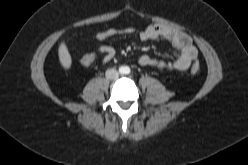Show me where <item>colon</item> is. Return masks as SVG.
<instances>
[{"label": "colon", "instance_id": "colon-1", "mask_svg": "<svg viewBox=\"0 0 248 165\" xmlns=\"http://www.w3.org/2000/svg\"><path fill=\"white\" fill-rule=\"evenodd\" d=\"M94 61V56L92 54H85L81 57L80 62L82 65L87 66L90 65ZM200 70V65L199 63H194L191 66V72L192 73H197Z\"/></svg>", "mask_w": 248, "mask_h": 165}]
</instances>
